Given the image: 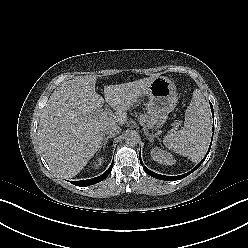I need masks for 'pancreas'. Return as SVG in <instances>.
<instances>
[{
  "label": "pancreas",
  "instance_id": "cf45deb5",
  "mask_svg": "<svg viewBox=\"0 0 248 248\" xmlns=\"http://www.w3.org/2000/svg\"><path fill=\"white\" fill-rule=\"evenodd\" d=\"M142 116V115H141ZM142 119L145 121V118H144V116L142 117Z\"/></svg>",
  "mask_w": 248,
  "mask_h": 248
}]
</instances>
